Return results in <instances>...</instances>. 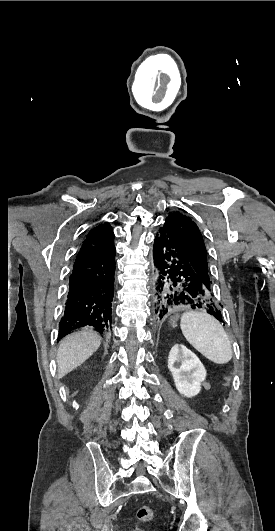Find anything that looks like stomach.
I'll return each mask as SVG.
<instances>
[{"mask_svg":"<svg viewBox=\"0 0 275 531\" xmlns=\"http://www.w3.org/2000/svg\"><path fill=\"white\" fill-rule=\"evenodd\" d=\"M178 319L179 315H175V317H170V321H168L169 325H171V327H177Z\"/></svg>","mask_w":275,"mask_h":531,"instance_id":"1","label":"stomach"}]
</instances>
